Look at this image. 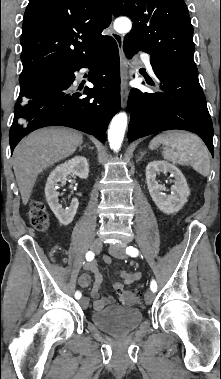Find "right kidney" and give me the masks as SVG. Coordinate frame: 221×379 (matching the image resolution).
<instances>
[{"instance_id":"1","label":"right kidney","mask_w":221,"mask_h":379,"mask_svg":"<svg viewBox=\"0 0 221 379\" xmlns=\"http://www.w3.org/2000/svg\"><path fill=\"white\" fill-rule=\"evenodd\" d=\"M75 175L81 179H87L89 174V164L83 156H76L63 164L58 165L49 175L46 186L45 196L51 210L55 214L59 222L67 226L69 225L77 212L79 205L78 199L73 198L70 206L66 209L59 203V192H57L58 183L64 185L68 175Z\"/></svg>"}]
</instances>
